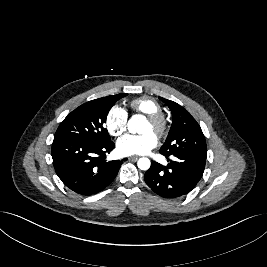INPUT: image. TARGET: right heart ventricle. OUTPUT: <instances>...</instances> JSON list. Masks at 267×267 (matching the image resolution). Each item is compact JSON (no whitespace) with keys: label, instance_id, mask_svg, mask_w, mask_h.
Here are the masks:
<instances>
[{"label":"right heart ventricle","instance_id":"1","mask_svg":"<svg viewBox=\"0 0 267 267\" xmlns=\"http://www.w3.org/2000/svg\"><path fill=\"white\" fill-rule=\"evenodd\" d=\"M130 107L134 112L150 115L161 112L160 104L153 98L142 96L130 102Z\"/></svg>","mask_w":267,"mask_h":267}]
</instances>
